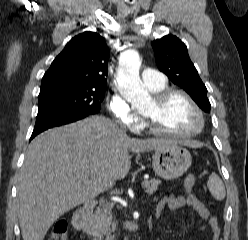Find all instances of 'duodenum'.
Instances as JSON below:
<instances>
[{
    "mask_svg": "<svg viewBox=\"0 0 248 240\" xmlns=\"http://www.w3.org/2000/svg\"><path fill=\"white\" fill-rule=\"evenodd\" d=\"M95 207L96 202L94 200H88L81 204L75 211L73 216V224L78 231L85 232L90 229V215ZM92 240L100 239L92 238Z\"/></svg>",
    "mask_w": 248,
    "mask_h": 240,
    "instance_id": "duodenum-1",
    "label": "duodenum"
}]
</instances>
